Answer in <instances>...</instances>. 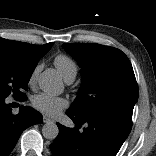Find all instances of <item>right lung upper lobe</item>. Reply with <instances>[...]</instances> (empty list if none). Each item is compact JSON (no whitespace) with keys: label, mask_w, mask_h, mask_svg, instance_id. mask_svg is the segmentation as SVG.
<instances>
[{"label":"right lung upper lobe","mask_w":156,"mask_h":156,"mask_svg":"<svg viewBox=\"0 0 156 156\" xmlns=\"http://www.w3.org/2000/svg\"><path fill=\"white\" fill-rule=\"evenodd\" d=\"M52 45L53 43L33 45L0 38V51L8 52L19 57L25 63L33 65H37L40 58L50 50Z\"/></svg>","instance_id":"cb5924a9"}]
</instances>
